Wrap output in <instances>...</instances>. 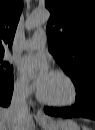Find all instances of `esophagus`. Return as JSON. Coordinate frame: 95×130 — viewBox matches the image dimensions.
Listing matches in <instances>:
<instances>
[{"instance_id":"34e87169","label":"esophagus","mask_w":95,"mask_h":130,"mask_svg":"<svg viewBox=\"0 0 95 130\" xmlns=\"http://www.w3.org/2000/svg\"><path fill=\"white\" fill-rule=\"evenodd\" d=\"M35 118L38 121H43L47 119V117L43 114V112L40 109L37 110Z\"/></svg>"}]
</instances>
